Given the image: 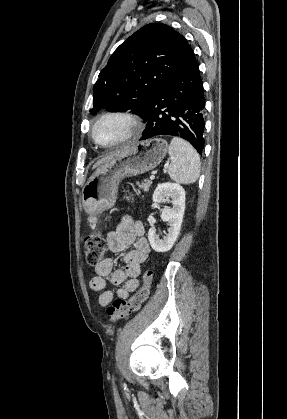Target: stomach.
<instances>
[{"instance_id":"stomach-1","label":"stomach","mask_w":287,"mask_h":419,"mask_svg":"<svg viewBox=\"0 0 287 419\" xmlns=\"http://www.w3.org/2000/svg\"><path fill=\"white\" fill-rule=\"evenodd\" d=\"M167 150L166 140L152 138L117 152L97 168L83 187L85 211L93 217L110 209L115 204L119 183L156 168Z\"/></svg>"}]
</instances>
